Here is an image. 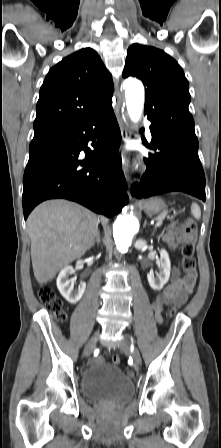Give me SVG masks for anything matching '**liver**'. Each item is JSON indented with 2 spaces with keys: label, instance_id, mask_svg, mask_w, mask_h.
Instances as JSON below:
<instances>
[{
  "label": "liver",
  "instance_id": "1",
  "mask_svg": "<svg viewBox=\"0 0 221 448\" xmlns=\"http://www.w3.org/2000/svg\"><path fill=\"white\" fill-rule=\"evenodd\" d=\"M99 217L66 200L38 205L27 219L34 276L44 284L83 256L98 232Z\"/></svg>",
  "mask_w": 221,
  "mask_h": 448
}]
</instances>
